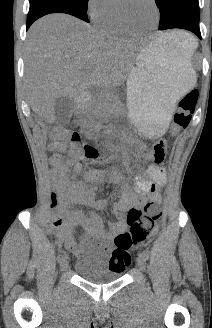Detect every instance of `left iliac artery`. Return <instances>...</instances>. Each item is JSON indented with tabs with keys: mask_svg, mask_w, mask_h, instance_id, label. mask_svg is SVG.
<instances>
[{
	"mask_svg": "<svg viewBox=\"0 0 212 328\" xmlns=\"http://www.w3.org/2000/svg\"><path fill=\"white\" fill-rule=\"evenodd\" d=\"M141 255H143L145 260H147L149 258V251L147 249H144Z\"/></svg>",
	"mask_w": 212,
	"mask_h": 328,
	"instance_id": "obj_1",
	"label": "left iliac artery"
}]
</instances>
